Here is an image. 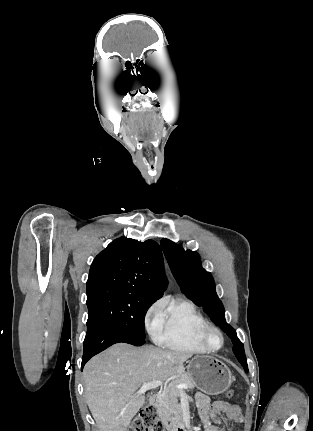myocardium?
Masks as SVG:
<instances>
[{
    "mask_svg": "<svg viewBox=\"0 0 313 431\" xmlns=\"http://www.w3.org/2000/svg\"><path fill=\"white\" fill-rule=\"evenodd\" d=\"M210 332H216V333L219 335L220 340H221V344H220V346H219V347L214 348V347H212V346L209 344V342H208V334H209ZM201 342H202L203 346H204L208 351L216 352V351H219L220 349H222V348H223L224 343H225V338H224L223 332L221 331V329H220L219 327H217L216 325H213V324H207V325L204 327V329L202 330V333H201Z\"/></svg>",
    "mask_w": 313,
    "mask_h": 431,
    "instance_id": "1",
    "label": "myocardium"
}]
</instances>
